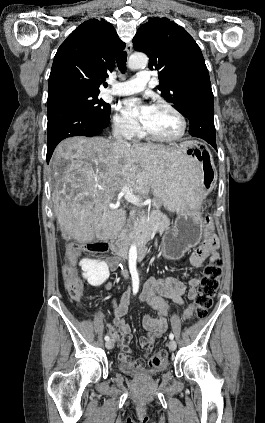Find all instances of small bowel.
Instances as JSON below:
<instances>
[{
	"instance_id": "c3829d8e",
	"label": "small bowel",
	"mask_w": 265,
	"mask_h": 423,
	"mask_svg": "<svg viewBox=\"0 0 265 423\" xmlns=\"http://www.w3.org/2000/svg\"><path fill=\"white\" fill-rule=\"evenodd\" d=\"M218 238L216 235L206 237L204 243L199 246L191 255L190 262L195 269H200L206 258L210 260L218 257ZM107 264L110 269H115L120 265V261L115 257H108ZM201 283V275L196 274L189 281V289L186 291L185 284L173 277H163L151 279L147 288H145L139 295V301L145 303L149 309L153 310L156 315L145 314L143 317V327L147 334L142 336L139 340L140 346L146 354L150 353L159 336L167 330V321L165 316L170 313V307L163 298L172 300L174 303L184 305L182 313V320H189L194 311L193 301L198 294V287ZM112 283H106V289H111ZM187 292L189 303H185L184 295ZM130 294L126 292L123 296L122 303L117 305L113 301V316L110 328L114 339L118 340L120 346V359L127 365L140 367L143 364L142 359H131V342L132 333L130 326L125 322L124 315L126 313L127 305L129 303Z\"/></svg>"
}]
</instances>
